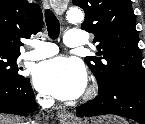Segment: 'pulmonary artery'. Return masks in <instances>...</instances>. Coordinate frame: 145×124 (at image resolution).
<instances>
[{
    "label": "pulmonary artery",
    "instance_id": "pulmonary-artery-1",
    "mask_svg": "<svg viewBox=\"0 0 145 124\" xmlns=\"http://www.w3.org/2000/svg\"><path fill=\"white\" fill-rule=\"evenodd\" d=\"M65 44L68 47H80L85 44L84 31L78 29H70L65 37ZM34 50L23 55L25 60H41L51 57L58 52L55 44L44 41H35L33 44Z\"/></svg>",
    "mask_w": 145,
    "mask_h": 124
}]
</instances>
